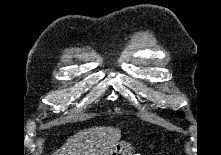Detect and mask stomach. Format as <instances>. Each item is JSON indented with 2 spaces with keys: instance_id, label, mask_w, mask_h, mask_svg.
Returning a JSON list of instances; mask_svg holds the SVG:
<instances>
[{
  "instance_id": "0dacf381",
  "label": "stomach",
  "mask_w": 221,
  "mask_h": 155,
  "mask_svg": "<svg viewBox=\"0 0 221 155\" xmlns=\"http://www.w3.org/2000/svg\"><path fill=\"white\" fill-rule=\"evenodd\" d=\"M134 148L125 141L118 142L110 155H133Z\"/></svg>"
}]
</instances>
